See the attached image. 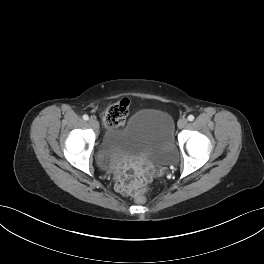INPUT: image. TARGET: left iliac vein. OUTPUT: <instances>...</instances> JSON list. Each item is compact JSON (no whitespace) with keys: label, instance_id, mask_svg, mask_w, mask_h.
Instances as JSON below:
<instances>
[{"label":"left iliac vein","instance_id":"obj_1","mask_svg":"<svg viewBox=\"0 0 264 264\" xmlns=\"http://www.w3.org/2000/svg\"><path fill=\"white\" fill-rule=\"evenodd\" d=\"M188 121L186 118H181L178 121V127L179 128H184L187 125Z\"/></svg>","mask_w":264,"mask_h":264}]
</instances>
